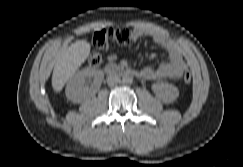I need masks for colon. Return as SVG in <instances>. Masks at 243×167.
<instances>
[{"label": "colon", "mask_w": 243, "mask_h": 167, "mask_svg": "<svg viewBox=\"0 0 243 167\" xmlns=\"http://www.w3.org/2000/svg\"><path fill=\"white\" fill-rule=\"evenodd\" d=\"M133 33L128 27L104 28L96 31L93 36L94 51L88 58V64L97 67L102 63V52L106 51L111 45L126 47L130 44ZM183 81L189 84L192 81L190 73H185Z\"/></svg>", "instance_id": "1"}]
</instances>
